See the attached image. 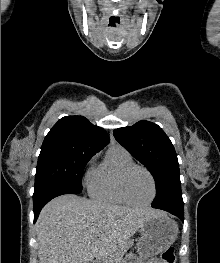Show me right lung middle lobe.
Instances as JSON below:
<instances>
[{"instance_id":"obj_1","label":"right lung middle lobe","mask_w":220,"mask_h":263,"mask_svg":"<svg viewBox=\"0 0 220 263\" xmlns=\"http://www.w3.org/2000/svg\"><path fill=\"white\" fill-rule=\"evenodd\" d=\"M96 153L74 150H45L38 157L34 195L48 188L82 190V174Z\"/></svg>"}]
</instances>
